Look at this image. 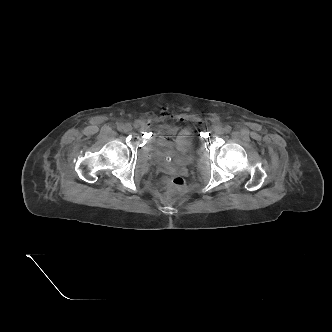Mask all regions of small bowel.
Returning <instances> with one entry per match:
<instances>
[{
  "instance_id": "1",
  "label": "small bowel",
  "mask_w": 332,
  "mask_h": 332,
  "mask_svg": "<svg viewBox=\"0 0 332 332\" xmlns=\"http://www.w3.org/2000/svg\"><path fill=\"white\" fill-rule=\"evenodd\" d=\"M177 118L182 119L181 116H178ZM192 132V128L189 127L179 129L175 126L161 125L159 128L158 141L161 145L165 146H179L189 139ZM175 133H177V137L171 139V135Z\"/></svg>"
}]
</instances>
